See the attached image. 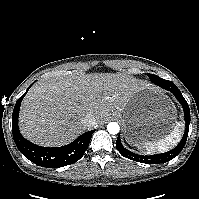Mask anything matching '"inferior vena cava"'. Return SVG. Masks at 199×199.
I'll return each mask as SVG.
<instances>
[{
  "label": "inferior vena cava",
  "instance_id": "inferior-vena-cava-1",
  "mask_svg": "<svg viewBox=\"0 0 199 199\" xmlns=\"http://www.w3.org/2000/svg\"><path fill=\"white\" fill-rule=\"evenodd\" d=\"M82 123L88 127L94 126L96 124V120L93 116L86 115L82 120Z\"/></svg>",
  "mask_w": 199,
  "mask_h": 199
}]
</instances>
